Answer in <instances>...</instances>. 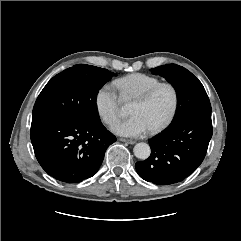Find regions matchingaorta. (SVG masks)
I'll return each instance as SVG.
<instances>
[{"instance_id": "1", "label": "aorta", "mask_w": 241, "mask_h": 241, "mask_svg": "<svg viewBox=\"0 0 241 241\" xmlns=\"http://www.w3.org/2000/svg\"><path fill=\"white\" fill-rule=\"evenodd\" d=\"M134 155L141 160H145L150 156L151 149L146 143H137L133 149Z\"/></svg>"}]
</instances>
